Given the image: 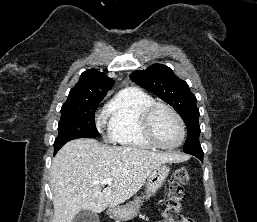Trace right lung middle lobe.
Returning a JSON list of instances; mask_svg holds the SVG:
<instances>
[{"label":"right lung middle lobe","instance_id":"right-lung-middle-lobe-1","mask_svg":"<svg viewBox=\"0 0 257 222\" xmlns=\"http://www.w3.org/2000/svg\"><path fill=\"white\" fill-rule=\"evenodd\" d=\"M103 97H90L66 101L61 108L58 137L54 149H60L66 142L77 138H93L99 135L94 114Z\"/></svg>","mask_w":257,"mask_h":222}]
</instances>
